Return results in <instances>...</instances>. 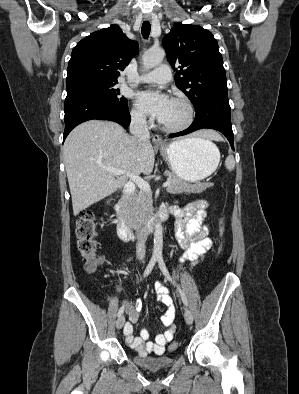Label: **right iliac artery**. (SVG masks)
<instances>
[{
  "label": "right iliac artery",
  "instance_id": "right-iliac-artery-1",
  "mask_svg": "<svg viewBox=\"0 0 299 394\" xmlns=\"http://www.w3.org/2000/svg\"><path fill=\"white\" fill-rule=\"evenodd\" d=\"M156 262H157V257L153 256L150 259V261H149V263H148V265H147V267H146V269L144 271L143 277H146V276H148L151 273V271H152L153 267L155 266ZM123 312H124V306H122L119 309L118 314H117L118 317H120L123 314Z\"/></svg>",
  "mask_w": 299,
  "mask_h": 394
}]
</instances>
